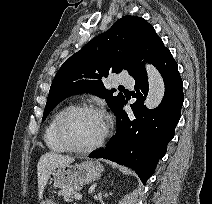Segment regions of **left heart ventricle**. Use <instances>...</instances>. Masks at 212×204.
<instances>
[{"label":"left heart ventricle","instance_id":"left-heart-ventricle-1","mask_svg":"<svg viewBox=\"0 0 212 204\" xmlns=\"http://www.w3.org/2000/svg\"><path fill=\"white\" fill-rule=\"evenodd\" d=\"M103 128V117L88 111L72 114L65 125L69 140L78 147H86L97 141L103 132Z\"/></svg>","mask_w":212,"mask_h":204}]
</instances>
